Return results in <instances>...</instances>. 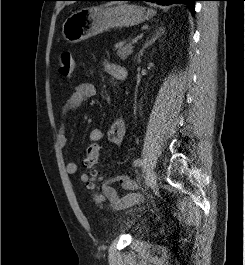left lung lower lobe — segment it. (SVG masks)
I'll list each match as a JSON object with an SVG mask.
<instances>
[{
  "label": "left lung lower lobe",
  "mask_w": 245,
  "mask_h": 265,
  "mask_svg": "<svg viewBox=\"0 0 245 265\" xmlns=\"http://www.w3.org/2000/svg\"><path fill=\"white\" fill-rule=\"evenodd\" d=\"M89 1H114V0H89ZM119 1H148V2L160 4V5H171V4H176V3H183L189 7L192 13H194V1H198V0H119Z\"/></svg>",
  "instance_id": "1"
}]
</instances>
